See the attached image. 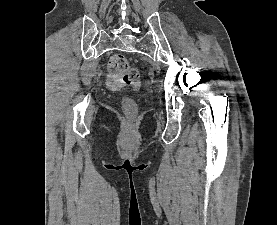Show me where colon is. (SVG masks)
Wrapping results in <instances>:
<instances>
[{
    "label": "colon",
    "instance_id": "5ec220e1",
    "mask_svg": "<svg viewBox=\"0 0 277 225\" xmlns=\"http://www.w3.org/2000/svg\"><path fill=\"white\" fill-rule=\"evenodd\" d=\"M108 65L109 70L118 76L125 86L137 87L139 85V72L129 64L124 55H113ZM122 111L129 118L135 117L138 111L136 102L133 99L124 98L122 100Z\"/></svg>",
    "mask_w": 277,
    "mask_h": 225
}]
</instances>
